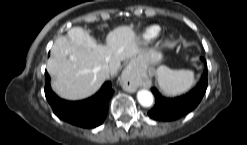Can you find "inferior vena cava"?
<instances>
[{"instance_id":"inferior-vena-cava-1","label":"inferior vena cava","mask_w":247,"mask_h":145,"mask_svg":"<svg viewBox=\"0 0 247 145\" xmlns=\"http://www.w3.org/2000/svg\"><path fill=\"white\" fill-rule=\"evenodd\" d=\"M104 72H105L106 75H108V73H109L108 67H105V68H104Z\"/></svg>"}]
</instances>
